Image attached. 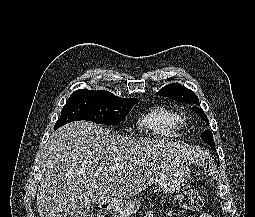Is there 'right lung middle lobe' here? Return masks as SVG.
<instances>
[{
    "mask_svg": "<svg viewBox=\"0 0 255 217\" xmlns=\"http://www.w3.org/2000/svg\"><path fill=\"white\" fill-rule=\"evenodd\" d=\"M137 99H123L112 93L79 91L71 94L64 105L54 129L79 120L98 124L120 123L137 103Z\"/></svg>",
    "mask_w": 255,
    "mask_h": 217,
    "instance_id": "1",
    "label": "right lung middle lobe"
}]
</instances>
